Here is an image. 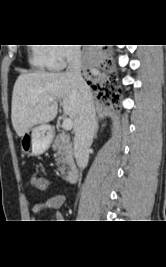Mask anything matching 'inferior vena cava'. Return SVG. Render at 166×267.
<instances>
[{"label":"inferior vena cava","mask_w":166,"mask_h":267,"mask_svg":"<svg viewBox=\"0 0 166 267\" xmlns=\"http://www.w3.org/2000/svg\"><path fill=\"white\" fill-rule=\"evenodd\" d=\"M67 63L68 67L65 74L82 94L79 124L75 130L74 154L77 165L84 169L88 164V150L95 136V108L90 88L81 75V51L79 47L69 49Z\"/></svg>","instance_id":"obj_1"}]
</instances>
